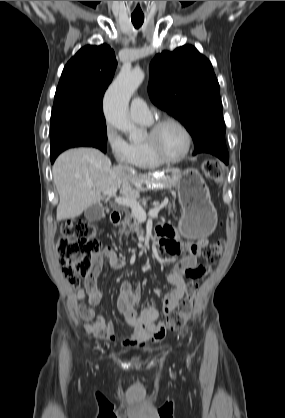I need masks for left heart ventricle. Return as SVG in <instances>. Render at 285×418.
Segmentation results:
<instances>
[{"label":"left heart ventricle","instance_id":"1","mask_svg":"<svg viewBox=\"0 0 285 418\" xmlns=\"http://www.w3.org/2000/svg\"><path fill=\"white\" fill-rule=\"evenodd\" d=\"M156 143L166 157L177 158L185 150L186 138L179 127L167 124L159 131Z\"/></svg>","mask_w":285,"mask_h":418}]
</instances>
